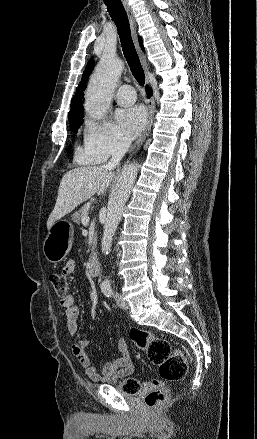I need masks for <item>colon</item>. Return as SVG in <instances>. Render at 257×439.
Listing matches in <instances>:
<instances>
[{
	"instance_id": "1",
	"label": "colon",
	"mask_w": 257,
	"mask_h": 439,
	"mask_svg": "<svg viewBox=\"0 0 257 439\" xmlns=\"http://www.w3.org/2000/svg\"><path fill=\"white\" fill-rule=\"evenodd\" d=\"M50 283L57 296L61 298L67 296L68 284L63 274L51 275ZM130 338L134 345L145 352L150 362L158 368L160 379L140 382L135 378H125L120 382L119 388L128 394L143 392L145 404L150 408L158 407L169 397L163 381H176L184 378L188 369L187 359L181 349L173 348L167 340L150 331L133 328Z\"/></svg>"
}]
</instances>
